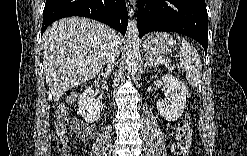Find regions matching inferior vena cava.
Wrapping results in <instances>:
<instances>
[{
	"label": "inferior vena cava",
	"instance_id": "inferior-vena-cava-1",
	"mask_svg": "<svg viewBox=\"0 0 247 156\" xmlns=\"http://www.w3.org/2000/svg\"><path fill=\"white\" fill-rule=\"evenodd\" d=\"M119 53V42L115 34H113L111 36V40L107 44L106 51L104 54L105 64L107 66L106 71L108 73L112 71L114 65L116 64L117 58L119 57Z\"/></svg>",
	"mask_w": 247,
	"mask_h": 156
}]
</instances>
